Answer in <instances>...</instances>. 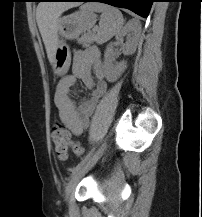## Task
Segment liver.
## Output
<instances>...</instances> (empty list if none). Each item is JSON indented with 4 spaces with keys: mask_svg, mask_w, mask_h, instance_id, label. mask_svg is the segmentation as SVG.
<instances>
[{
    "mask_svg": "<svg viewBox=\"0 0 202 217\" xmlns=\"http://www.w3.org/2000/svg\"><path fill=\"white\" fill-rule=\"evenodd\" d=\"M75 6L78 4L66 2H40L37 6L36 20L51 64L55 61L59 17L65 10Z\"/></svg>",
    "mask_w": 202,
    "mask_h": 217,
    "instance_id": "1",
    "label": "liver"
}]
</instances>
